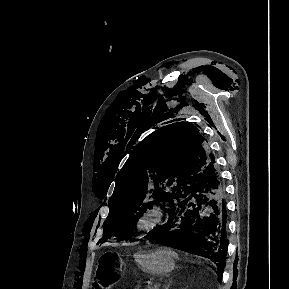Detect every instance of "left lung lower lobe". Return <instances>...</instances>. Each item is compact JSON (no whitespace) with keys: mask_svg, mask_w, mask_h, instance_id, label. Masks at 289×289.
<instances>
[{"mask_svg":"<svg viewBox=\"0 0 289 289\" xmlns=\"http://www.w3.org/2000/svg\"><path fill=\"white\" fill-rule=\"evenodd\" d=\"M226 216L224 185L213 157L204 171L175 197L168 222L147 238L155 244L211 259L221 279L228 246Z\"/></svg>","mask_w":289,"mask_h":289,"instance_id":"left-lung-lower-lobe-1","label":"left lung lower lobe"}]
</instances>
